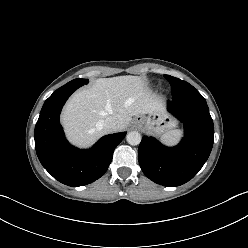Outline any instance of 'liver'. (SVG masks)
Here are the masks:
<instances>
[{"label": "liver", "mask_w": 248, "mask_h": 248, "mask_svg": "<svg viewBox=\"0 0 248 248\" xmlns=\"http://www.w3.org/2000/svg\"><path fill=\"white\" fill-rule=\"evenodd\" d=\"M164 109L162 100L152 94L144 79L137 76L99 78L79 90L67 102L61 120L69 140L78 147L91 146L106 132L97 126L107 117L124 130L133 116L155 115Z\"/></svg>", "instance_id": "liver-1"}]
</instances>
